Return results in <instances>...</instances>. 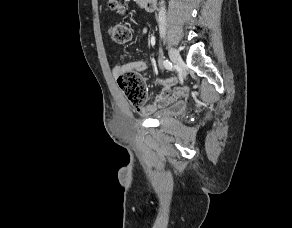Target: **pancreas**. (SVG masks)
I'll list each match as a JSON object with an SVG mask.
<instances>
[{"label":"pancreas","mask_w":292,"mask_h":228,"mask_svg":"<svg viewBox=\"0 0 292 228\" xmlns=\"http://www.w3.org/2000/svg\"><path fill=\"white\" fill-rule=\"evenodd\" d=\"M135 1L139 3V2H141L142 0H135Z\"/></svg>","instance_id":"1"}]
</instances>
